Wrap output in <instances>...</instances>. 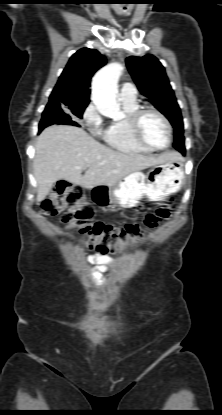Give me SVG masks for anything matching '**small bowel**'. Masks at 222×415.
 <instances>
[{
    "instance_id": "obj_1",
    "label": "small bowel",
    "mask_w": 222,
    "mask_h": 415,
    "mask_svg": "<svg viewBox=\"0 0 222 415\" xmlns=\"http://www.w3.org/2000/svg\"><path fill=\"white\" fill-rule=\"evenodd\" d=\"M89 263L91 264H95V263H103L105 261V258L102 256H90L88 258ZM105 268L104 267H100L95 273L94 276L96 278H101L102 274L104 272Z\"/></svg>"
}]
</instances>
